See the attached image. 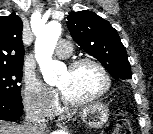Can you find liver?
I'll return each mask as SVG.
<instances>
[{
    "label": "liver",
    "mask_w": 153,
    "mask_h": 134,
    "mask_svg": "<svg viewBox=\"0 0 153 134\" xmlns=\"http://www.w3.org/2000/svg\"><path fill=\"white\" fill-rule=\"evenodd\" d=\"M73 114L74 112L67 116H72ZM25 132V125L0 120V134H26Z\"/></svg>",
    "instance_id": "obj_1"
}]
</instances>
